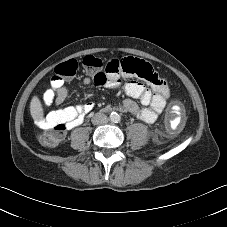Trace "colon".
<instances>
[{"mask_svg":"<svg viewBox=\"0 0 227 227\" xmlns=\"http://www.w3.org/2000/svg\"><path fill=\"white\" fill-rule=\"evenodd\" d=\"M82 64L93 73V80L96 84L101 85L106 80L118 77L121 72L136 75L142 79H153L154 69L149 63L137 61L135 59H127L120 63L117 60H111L106 64V71L109 73L107 77L104 74L103 61L91 54L85 55L82 58ZM78 70V62L75 59H69L63 63L58 64L54 68V74L52 76L51 85L53 87H60L63 83L62 77H72ZM181 108L178 101L173 102V111H177ZM64 124L57 123L53 126V131L46 132L41 135V141L49 146L54 147L58 145L65 136Z\"/></svg>","mask_w":227,"mask_h":227,"instance_id":"5ec220e1","label":"colon"}]
</instances>
